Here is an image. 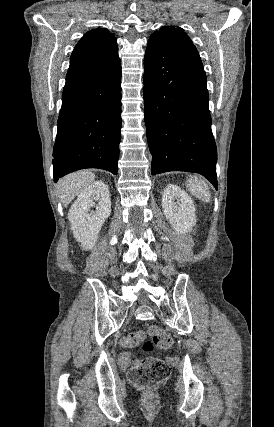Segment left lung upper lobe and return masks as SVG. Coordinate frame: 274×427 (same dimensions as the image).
I'll use <instances>...</instances> for the list:
<instances>
[{
    "label": "left lung upper lobe",
    "mask_w": 274,
    "mask_h": 427,
    "mask_svg": "<svg viewBox=\"0 0 274 427\" xmlns=\"http://www.w3.org/2000/svg\"><path fill=\"white\" fill-rule=\"evenodd\" d=\"M150 38L152 39H163L181 51L188 54L194 55L198 58L199 53L196 47L193 45L191 39L187 36L182 28H174L172 26H164L159 31H155Z\"/></svg>",
    "instance_id": "5c2ea615"
}]
</instances>
